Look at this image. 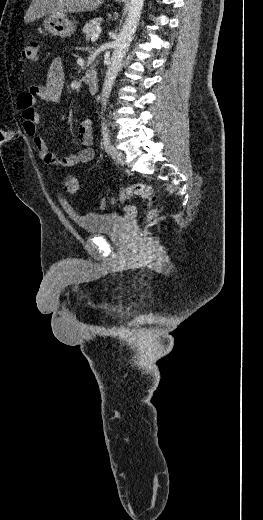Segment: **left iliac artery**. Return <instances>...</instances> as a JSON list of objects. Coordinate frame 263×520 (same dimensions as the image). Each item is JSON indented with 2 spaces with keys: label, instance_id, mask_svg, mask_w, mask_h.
<instances>
[{
  "label": "left iliac artery",
  "instance_id": "obj_1",
  "mask_svg": "<svg viewBox=\"0 0 263 520\" xmlns=\"http://www.w3.org/2000/svg\"><path fill=\"white\" fill-rule=\"evenodd\" d=\"M102 136H103V144L107 153H110L111 150V141L109 130L105 122L102 123Z\"/></svg>",
  "mask_w": 263,
  "mask_h": 520
}]
</instances>
